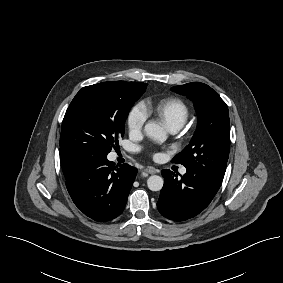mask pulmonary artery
<instances>
[{"instance_id":"obj_1","label":"pulmonary artery","mask_w":283,"mask_h":283,"mask_svg":"<svg viewBox=\"0 0 283 283\" xmlns=\"http://www.w3.org/2000/svg\"><path fill=\"white\" fill-rule=\"evenodd\" d=\"M179 129H180V128H178V127H172V128H170L169 130H170L171 133H176ZM180 172H181V174H185V173H186V168H182V169L180 170Z\"/></svg>"}]
</instances>
